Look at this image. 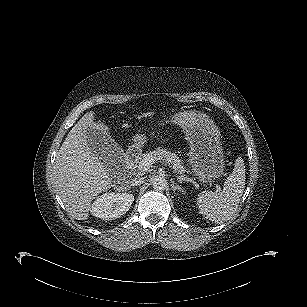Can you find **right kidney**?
<instances>
[{
	"mask_svg": "<svg viewBox=\"0 0 307 307\" xmlns=\"http://www.w3.org/2000/svg\"><path fill=\"white\" fill-rule=\"evenodd\" d=\"M134 201L133 194L108 192L99 196L91 205L90 212L102 220H114L124 215Z\"/></svg>",
	"mask_w": 307,
	"mask_h": 307,
	"instance_id": "ca27d5eb",
	"label": "right kidney"
}]
</instances>
